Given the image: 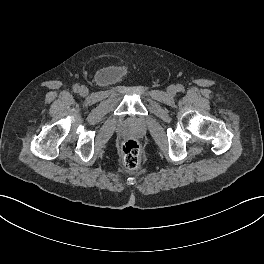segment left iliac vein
<instances>
[{
	"label": "left iliac vein",
	"mask_w": 264,
	"mask_h": 264,
	"mask_svg": "<svg viewBox=\"0 0 264 264\" xmlns=\"http://www.w3.org/2000/svg\"><path fill=\"white\" fill-rule=\"evenodd\" d=\"M167 92L170 96H174L176 94V87L174 85H170Z\"/></svg>",
	"instance_id": "left-iliac-vein-1"
}]
</instances>
